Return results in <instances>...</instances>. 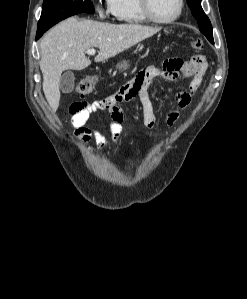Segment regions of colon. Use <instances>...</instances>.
Segmentation results:
<instances>
[{"label":"colon","instance_id":"colon-1","mask_svg":"<svg viewBox=\"0 0 247 299\" xmlns=\"http://www.w3.org/2000/svg\"><path fill=\"white\" fill-rule=\"evenodd\" d=\"M190 45L195 50H200L203 47V42L199 38L192 39ZM96 85V78L94 76H85L83 77L76 86V92L79 95L90 94Z\"/></svg>","mask_w":247,"mask_h":299}]
</instances>
